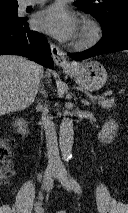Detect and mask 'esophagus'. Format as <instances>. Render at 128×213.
<instances>
[{
	"label": "esophagus",
	"instance_id": "obj_1",
	"mask_svg": "<svg viewBox=\"0 0 128 213\" xmlns=\"http://www.w3.org/2000/svg\"><path fill=\"white\" fill-rule=\"evenodd\" d=\"M52 57L57 66L64 70H70L73 66L67 61L65 53L54 43L50 42Z\"/></svg>",
	"mask_w": 128,
	"mask_h": 213
}]
</instances>
